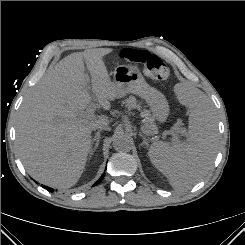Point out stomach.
Returning <instances> with one entry per match:
<instances>
[{"label": "stomach", "instance_id": "obj_1", "mask_svg": "<svg viewBox=\"0 0 245 245\" xmlns=\"http://www.w3.org/2000/svg\"><path fill=\"white\" fill-rule=\"evenodd\" d=\"M113 84L118 97L133 93L146 101L153 117L164 123L169 115V105L162 92L149 85L142 74L131 65H118L113 71Z\"/></svg>", "mask_w": 245, "mask_h": 245}]
</instances>
